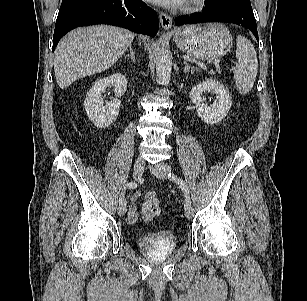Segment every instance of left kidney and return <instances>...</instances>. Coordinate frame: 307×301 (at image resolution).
I'll return each mask as SVG.
<instances>
[{"label":"left kidney","instance_id":"5707ae66","mask_svg":"<svg viewBox=\"0 0 307 301\" xmlns=\"http://www.w3.org/2000/svg\"><path fill=\"white\" fill-rule=\"evenodd\" d=\"M206 91H211L217 95V99L210 106L204 104L201 98V94ZM190 99L195 104L198 117L209 124H216L222 121L232 105L228 90L222 83L213 79H206L192 87Z\"/></svg>","mask_w":307,"mask_h":301}]
</instances>
